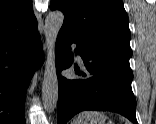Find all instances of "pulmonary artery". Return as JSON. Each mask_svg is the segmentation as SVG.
<instances>
[{
    "label": "pulmonary artery",
    "mask_w": 156,
    "mask_h": 124,
    "mask_svg": "<svg viewBox=\"0 0 156 124\" xmlns=\"http://www.w3.org/2000/svg\"><path fill=\"white\" fill-rule=\"evenodd\" d=\"M77 60L81 63L82 62V58L78 55L77 56Z\"/></svg>",
    "instance_id": "obj_1"
}]
</instances>
